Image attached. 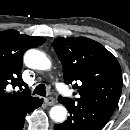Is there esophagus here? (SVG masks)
<instances>
[{
  "label": "esophagus",
  "instance_id": "1",
  "mask_svg": "<svg viewBox=\"0 0 130 130\" xmlns=\"http://www.w3.org/2000/svg\"><path fill=\"white\" fill-rule=\"evenodd\" d=\"M44 102L46 105L52 106L55 104V99L52 97H47V98H44Z\"/></svg>",
  "mask_w": 130,
  "mask_h": 130
}]
</instances>
